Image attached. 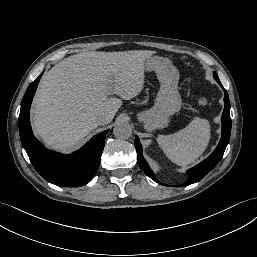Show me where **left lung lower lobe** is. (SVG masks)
Returning <instances> with one entry per match:
<instances>
[{
    "instance_id": "obj_1",
    "label": "left lung lower lobe",
    "mask_w": 257,
    "mask_h": 257,
    "mask_svg": "<svg viewBox=\"0 0 257 257\" xmlns=\"http://www.w3.org/2000/svg\"><path fill=\"white\" fill-rule=\"evenodd\" d=\"M220 86L223 88L222 84L219 82ZM224 90V111L222 114V137L221 140L215 149V151L204 161H202L197 166L189 169L187 174L189 175V179L186 183L180 185V187L187 186L193 183L198 182L201 180L208 172H210L221 160L226 146L230 139L231 133V118H230V101L226 90ZM135 147L137 151V161L144 172L154 181L161 184L154 176L152 170L149 168L147 162L145 161L144 157L142 156V146L140 144L139 138L136 136L135 138Z\"/></svg>"
}]
</instances>
